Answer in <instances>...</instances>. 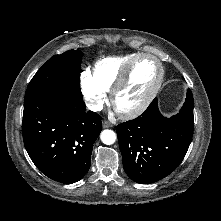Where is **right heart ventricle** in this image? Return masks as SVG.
I'll return each instance as SVG.
<instances>
[{"mask_svg": "<svg viewBox=\"0 0 221 221\" xmlns=\"http://www.w3.org/2000/svg\"><path fill=\"white\" fill-rule=\"evenodd\" d=\"M139 54L140 53H128L98 60L92 71L95 81L105 91H111L126 65Z\"/></svg>", "mask_w": 221, "mask_h": 221, "instance_id": "right-heart-ventricle-1", "label": "right heart ventricle"}]
</instances>
